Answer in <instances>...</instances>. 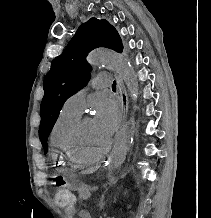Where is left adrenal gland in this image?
<instances>
[{
	"instance_id": "left-adrenal-gland-1",
	"label": "left adrenal gland",
	"mask_w": 211,
	"mask_h": 218,
	"mask_svg": "<svg viewBox=\"0 0 211 218\" xmlns=\"http://www.w3.org/2000/svg\"><path fill=\"white\" fill-rule=\"evenodd\" d=\"M103 206H105V202H103V198H101V208H103Z\"/></svg>"
}]
</instances>
